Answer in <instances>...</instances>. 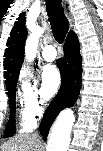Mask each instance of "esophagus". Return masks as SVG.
<instances>
[{"instance_id":"obj_1","label":"esophagus","mask_w":103,"mask_h":151,"mask_svg":"<svg viewBox=\"0 0 103 151\" xmlns=\"http://www.w3.org/2000/svg\"><path fill=\"white\" fill-rule=\"evenodd\" d=\"M68 18H69V20L71 21V17H70V15H68Z\"/></svg>"}]
</instances>
